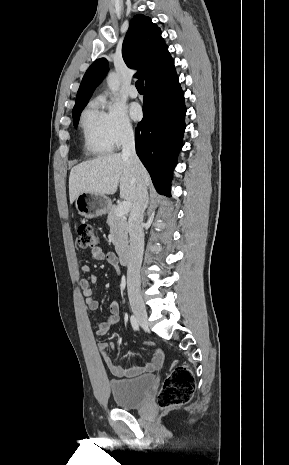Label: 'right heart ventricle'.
Wrapping results in <instances>:
<instances>
[{"mask_svg": "<svg viewBox=\"0 0 289 465\" xmlns=\"http://www.w3.org/2000/svg\"><path fill=\"white\" fill-rule=\"evenodd\" d=\"M84 150L91 155H104L112 151L105 126V114L97 101L91 102L80 117Z\"/></svg>", "mask_w": 289, "mask_h": 465, "instance_id": "right-heart-ventricle-1", "label": "right heart ventricle"}]
</instances>
